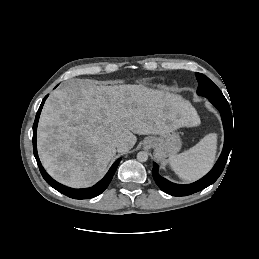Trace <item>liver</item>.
<instances>
[{
    "label": "liver",
    "instance_id": "obj_1",
    "mask_svg": "<svg viewBox=\"0 0 259 259\" xmlns=\"http://www.w3.org/2000/svg\"><path fill=\"white\" fill-rule=\"evenodd\" d=\"M199 123L196 110L181 96L143 85L72 79L45 102L38 153L55 180L83 188L105 172L116 152L133 148L134 134L164 135ZM115 139L123 140V146L115 147Z\"/></svg>",
    "mask_w": 259,
    "mask_h": 259
}]
</instances>
